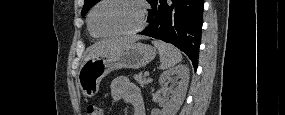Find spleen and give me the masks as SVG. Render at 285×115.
Returning a JSON list of instances; mask_svg holds the SVG:
<instances>
[{
    "label": "spleen",
    "instance_id": "1",
    "mask_svg": "<svg viewBox=\"0 0 285 115\" xmlns=\"http://www.w3.org/2000/svg\"><path fill=\"white\" fill-rule=\"evenodd\" d=\"M152 43L159 51L160 69H170L182 60L180 51L173 45L160 40H154Z\"/></svg>",
    "mask_w": 285,
    "mask_h": 115
}]
</instances>
